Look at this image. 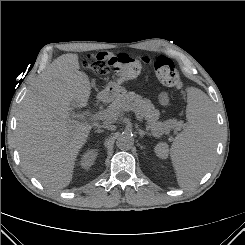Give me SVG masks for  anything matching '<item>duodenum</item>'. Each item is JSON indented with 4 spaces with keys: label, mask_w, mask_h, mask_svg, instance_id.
I'll list each match as a JSON object with an SVG mask.
<instances>
[{
    "label": "duodenum",
    "mask_w": 245,
    "mask_h": 245,
    "mask_svg": "<svg viewBox=\"0 0 245 245\" xmlns=\"http://www.w3.org/2000/svg\"><path fill=\"white\" fill-rule=\"evenodd\" d=\"M105 99H106V96L105 95H102V96L99 97V101L100 102H103Z\"/></svg>",
    "instance_id": "410a0bca"
}]
</instances>
